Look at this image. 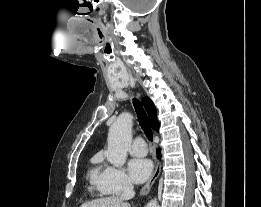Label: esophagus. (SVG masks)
<instances>
[{"label":"esophagus","instance_id":"esophagus-1","mask_svg":"<svg viewBox=\"0 0 261 207\" xmlns=\"http://www.w3.org/2000/svg\"><path fill=\"white\" fill-rule=\"evenodd\" d=\"M160 169H161V163L159 161H157L154 172L151 175V177L149 178V180L147 181V183L140 190V195H145L150 191L153 183L155 182V180L158 178V176L160 174Z\"/></svg>","mask_w":261,"mask_h":207}]
</instances>
